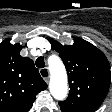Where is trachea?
<instances>
[{
	"mask_svg": "<svg viewBox=\"0 0 112 112\" xmlns=\"http://www.w3.org/2000/svg\"><path fill=\"white\" fill-rule=\"evenodd\" d=\"M35 64H36V66H37L38 68H44V67H45L44 58H43V57L37 58Z\"/></svg>",
	"mask_w": 112,
	"mask_h": 112,
	"instance_id": "trachea-1",
	"label": "trachea"
}]
</instances>
